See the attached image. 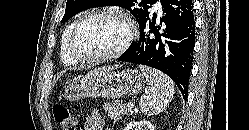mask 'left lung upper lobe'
I'll list each match as a JSON object with an SVG mask.
<instances>
[{"instance_id": "5c2ea615", "label": "left lung upper lobe", "mask_w": 249, "mask_h": 130, "mask_svg": "<svg viewBox=\"0 0 249 130\" xmlns=\"http://www.w3.org/2000/svg\"><path fill=\"white\" fill-rule=\"evenodd\" d=\"M156 0H67L65 14L61 23L66 22L75 14L94 7L120 6L128 9L136 18L139 26L150 16V9Z\"/></svg>"}]
</instances>
